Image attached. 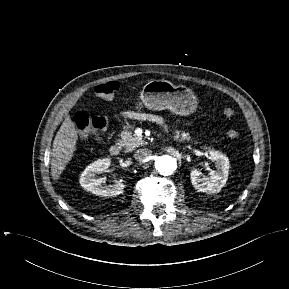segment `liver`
<instances>
[{
	"instance_id": "1",
	"label": "liver",
	"mask_w": 289,
	"mask_h": 289,
	"mask_svg": "<svg viewBox=\"0 0 289 289\" xmlns=\"http://www.w3.org/2000/svg\"><path fill=\"white\" fill-rule=\"evenodd\" d=\"M78 135L75 124L68 116L62 123L53 141L51 175L53 180H58L66 165L73 157L76 150Z\"/></svg>"
}]
</instances>
